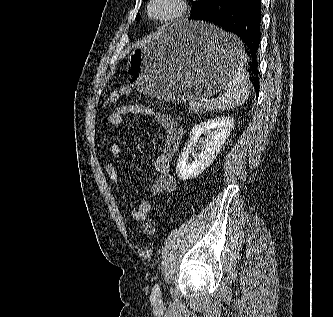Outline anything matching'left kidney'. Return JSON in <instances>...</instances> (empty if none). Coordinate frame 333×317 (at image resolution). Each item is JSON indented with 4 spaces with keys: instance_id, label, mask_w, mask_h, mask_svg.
Listing matches in <instances>:
<instances>
[{
    "instance_id": "obj_1",
    "label": "left kidney",
    "mask_w": 333,
    "mask_h": 317,
    "mask_svg": "<svg viewBox=\"0 0 333 317\" xmlns=\"http://www.w3.org/2000/svg\"><path fill=\"white\" fill-rule=\"evenodd\" d=\"M233 126L234 119L231 117H215L195 125L190 131V140L184 146L176 164L179 179L185 181L200 175L219 154ZM203 134H207L208 137L202 144L201 152L189 160L193 144Z\"/></svg>"
}]
</instances>
